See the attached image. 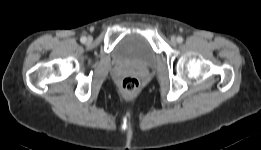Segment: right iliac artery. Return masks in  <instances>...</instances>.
Segmentation results:
<instances>
[{"label": "right iliac artery", "instance_id": "1", "mask_svg": "<svg viewBox=\"0 0 261 150\" xmlns=\"http://www.w3.org/2000/svg\"><path fill=\"white\" fill-rule=\"evenodd\" d=\"M86 37L85 36H83V37H81V39H80V41L82 42V43H85L86 42Z\"/></svg>", "mask_w": 261, "mask_h": 150}]
</instances>
